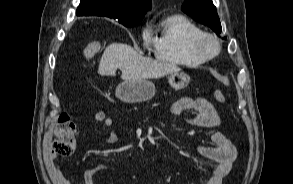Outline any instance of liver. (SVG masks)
<instances>
[{
	"mask_svg": "<svg viewBox=\"0 0 293 184\" xmlns=\"http://www.w3.org/2000/svg\"><path fill=\"white\" fill-rule=\"evenodd\" d=\"M120 69L123 80L159 78L181 69L174 63L153 60L138 54L130 45L112 43L103 52L98 73L114 76Z\"/></svg>",
	"mask_w": 293,
	"mask_h": 184,
	"instance_id": "6515ba94",
	"label": "liver"
}]
</instances>
